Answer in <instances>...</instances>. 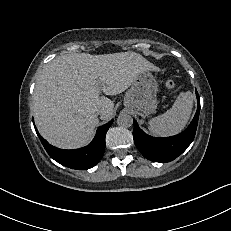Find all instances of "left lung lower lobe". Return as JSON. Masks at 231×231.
<instances>
[{
	"label": "left lung lower lobe",
	"instance_id": "left-lung-lower-lobe-1",
	"mask_svg": "<svg viewBox=\"0 0 231 231\" xmlns=\"http://www.w3.org/2000/svg\"><path fill=\"white\" fill-rule=\"evenodd\" d=\"M196 95L198 100L196 114L187 129L178 135L166 138L152 137L145 134L134 121V143L145 158L154 162H170L191 144L195 137L200 111V99L197 92Z\"/></svg>",
	"mask_w": 231,
	"mask_h": 231
}]
</instances>
